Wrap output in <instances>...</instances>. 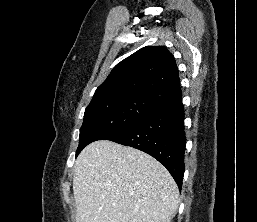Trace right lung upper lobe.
Instances as JSON below:
<instances>
[{
  "label": "right lung upper lobe",
  "mask_w": 257,
  "mask_h": 222,
  "mask_svg": "<svg viewBox=\"0 0 257 222\" xmlns=\"http://www.w3.org/2000/svg\"><path fill=\"white\" fill-rule=\"evenodd\" d=\"M181 96L173 55L164 46H147L118 63L92 101L145 98L162 106Z\"/></svg>",
  "instance_id": "1"
}]
</instances>
